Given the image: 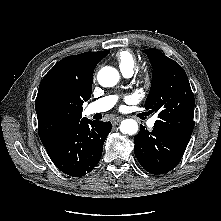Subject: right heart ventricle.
<instances>
[{
	"label": "right heart ventricle",
	"instance_id": "right-heart-ventricle-1",
	"mask_svg": "<svg viewBox=\"0 0 221 221\" xmlns=\"http://www.w3.org/2000/svg\"><path fill=\"white\" fill-rule=\"evenodd\" d=\"M116 62L123 74L133 73L137 68L135 55L129 50H120L116 54Z\"/></svg>",
	"mask_w": 221,
	"mask_h": 221
}]
</instances>
